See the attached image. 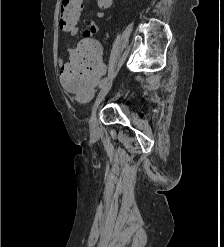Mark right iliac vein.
<instances>
[{
	"label": "right iliac vein",
	"mask_w": 224,
	"mask_h": 247,
	"mask_svg": "<svg viewBox=\"0 0 224 247\" xmlns=\"http://www.w3.org/2000/svg\"><path fill=\"white\" fill-rule=\"evenodd\" d=\"M111 87H112V82H109L101 89L92 107L91 116L89 120V127L91 132L93 133H96L98 131V122L96 118L97 108L99 104L102 102V100L105 98V96L108 94Z\"/></svg>",
	"instance_id": "1"
}]
</instances>
